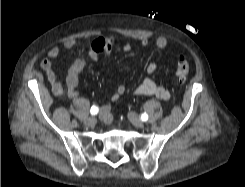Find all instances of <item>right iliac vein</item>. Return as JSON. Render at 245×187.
I'll return each mask as SVG.
<instances>
[{"label":"right iliac vein","instance_id":"right-iliac-vein-1","mask_svg":"<svg viewBox=\"0 0 245 187\" xmlns=\"http://www.w3.org/2000/svg\"><path fill=\"white\" fill-rule=\"evenodd\" d=\"M95 122H96V119H95V117H89V118H87L85 121H84V123L87 125V126H93L94 124H95Z\"/></svg>","mask_w":245,"mask_h":187}]
</instances>
